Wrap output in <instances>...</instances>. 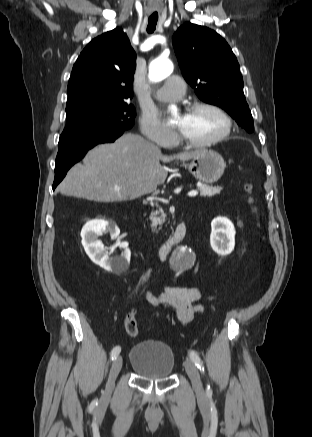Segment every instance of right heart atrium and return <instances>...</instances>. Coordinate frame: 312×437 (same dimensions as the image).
<instances>
[{
    "label": "right heart atrium",
    "instance_id": "obj_1",
    "mask_svg": "<svg viewBox=\"0 0 312 437\" xmlns=\"http://www.w3.org/2000/svg\"><path fill=\"white\" fill-rule=\"evenodd\" d=\"M140 129L146 138L161 147L171 146L175 142V133L166 128L153 113L142 115Z\"/></svg>",
    "mask_w": 312,
    "mask_h": 437
}]
</instances>
